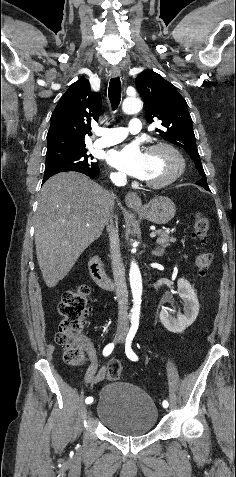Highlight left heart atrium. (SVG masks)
Listing matches in <instances>:
<instances>
[{"mask_svg":"<svg viewBox=\"0 0 236 477\" xmlns=\"http://www.w3.org/2000/svg\"><path fill=\"white\" fill-rule=\"evenodd\" d=\"M108 162L123 173L144 179L147 169V153L137 143H130L108 154Z\"/></svg>","mask_w":236,"mask_h":477,"instance_id":"obj_1","label":"left heart atrium"}]
</instances>
